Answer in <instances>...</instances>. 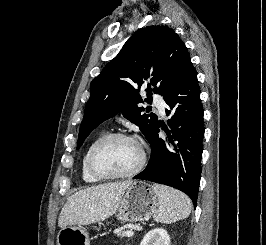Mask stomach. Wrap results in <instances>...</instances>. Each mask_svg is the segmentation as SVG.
I'll use <instances>...</instances> for the list:
<instances>
[{
	"label": "stomach",
	"instance_id": "1",
	"mask_svg": "<svg viewBox=\"0 0 266 245\" xmlns=\"http://www.w3.org/2000/svg\"><path fill=\"white\" fill-rule=\"evenodd\" d=\"M158 207V197L152 185L135 181L125 191L116 213L117 219L123 223L147 221L151 219ZM57 245H90L89 233L85 227H62Z\"/></svg>",
	"mask_w": 266,
	"mask_h": 245
}]
</instances>
